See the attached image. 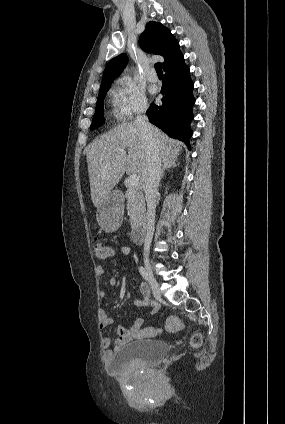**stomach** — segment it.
<instances>
[{"instance_id": "1", "label": "stomach", "mask_w": 285, "mask_h": 424, "mask_svg": "<svg viewBox=\"0 0 285 424\" xmlns=\"http://www.w3.org/2000/svg\"><path fill=\"white\" fill-rule=\"evenodd\" d=\"M124 213V201L115 193H110L97 207L96 219L106 232L115 231L121 224Z\"/></svg>"}]
</instances>
